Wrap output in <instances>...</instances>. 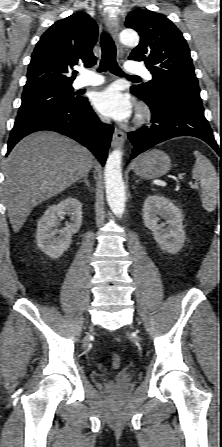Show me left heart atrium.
<instances>
[{
    "mask_svg": "<svg viewBox=\"0 0 222 447\" xmlns=\"http://www.w3.org/2000/svg\"><path fill=\"white\" fill-rule=\"evenodd\" d=\"M94 105L99 112L118 121H125L132 114L129 96L116 86H110L97 93Z\"/></svg>",
    "mask_w": 222,
    "mask_h": 447,
    "instance_id": "left-heart-atrium-1",
    "label": "left heart atrium"
}]
</instances>
